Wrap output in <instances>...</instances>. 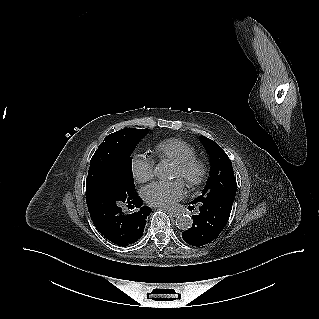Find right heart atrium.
<instances>
[{"label":"right heart atrium","mask_w":319,"mask_h":319,"mask_svg":"<svg viewBox=\"0 0 319 319\" xmlns=\"http://www.w3.org/2000/svg\"><path fill=\"white\" fill-rule=\"evenodd\" d=\"M154 159L145 154L136 153L131 158V171L136 182L144 183L154 176Z\"/></svg>","instance_id":"1"}]
</instances>
